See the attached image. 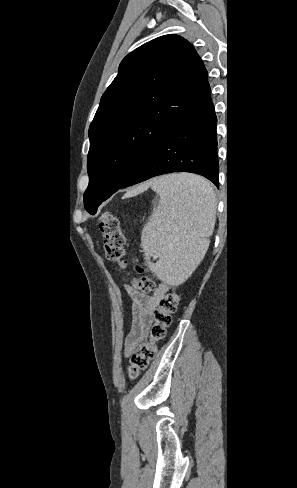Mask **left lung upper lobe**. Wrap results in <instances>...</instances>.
Wrapping results in <instances>:
<instances>
[{"mask_svg":"<svg viewBox=\"0 0 297 488\" xmlns=\"http://www.w3.org/2000/svg\"><path fill=\"white\" fill-rule=\"evenodd\" d=\"M210 101L207 70L181 36L164 35L129 53L89 127L85 209L95 214L173 130Z\"/></svg>","mask_w":297,"mask_h":488,"instance_id":"1","label":"left lung upper lobe"}]
</instances>
